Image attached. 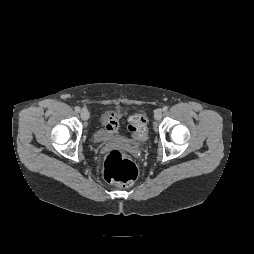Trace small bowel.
Masks as SVG:
<instances>
[{"label":"small bowel","instance_id":"c3829d8e","mask_svg":"<svg viewBox=\"0 0 254 254\" xmlns=\"http://www.w3.org/2000/svg\"><path fill=\"white\" fill-rule=\"evenodd\" d=\"M131 117H126L118 111H107L102 117V125L109 133L118 132L126 120L130 122Z\"/></svg>","mask_w":254,"mask_h":254}]
</instances>
